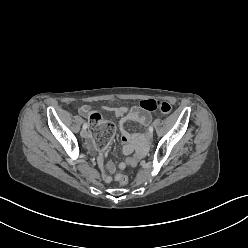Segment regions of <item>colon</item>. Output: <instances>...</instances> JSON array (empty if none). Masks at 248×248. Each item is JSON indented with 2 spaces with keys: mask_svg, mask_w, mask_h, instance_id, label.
Masks as SVG:
<instances>
[{
  "mask_svg": "<svg viewBox=\"0 0 248 248\" xmlns=\"http://www.w3.org/2000/svg\"><path fill=\"white\" fill-rule=\"evenodd\" d=\"M139 107L146 112L159 111L163 114H170L172 111L169 103L155 99L143 100L140 102ZM88 127L93 131L92 135L95 139V147L99 150L105 149L108 141L115 133V125L110 121L103 120L102 115L95 112L88 120ZM116 180L121 186L128 184V177L124 174H119Z\"/></svg>",
  "mask_w": 248,
  "mask_h": 248,
  "instance_id": "colon-1",
  "label": "colon"
}]
</instances>
